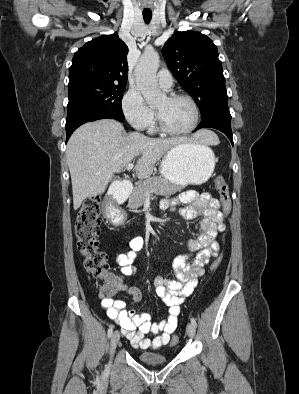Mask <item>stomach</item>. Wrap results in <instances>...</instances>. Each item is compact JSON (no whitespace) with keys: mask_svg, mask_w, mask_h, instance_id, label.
<instances>
[{"mask_svg":"<svg viewBox=\"0 0 299 394\" xmlns=\"http://www.w3.org/2000/svg\"><path fill=\"white\" fill-rule=\"evenodd\" d=\"M212 150L198 143H180L163 157L160 174L175 185H200L212 175L215 167Z\"/></svg>","mask_w":299,"mask_h":394,"instance_id":"0dacf381","label":"stomach"}]
</instances>
